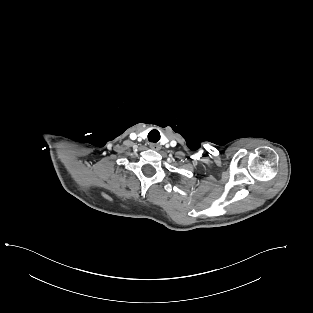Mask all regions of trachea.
<instances>
[{
  "instance_id": "trachea-1",
  "label": "trachea",
  "mask_w": 313,
  "mask_h": 313,
  "mask_svg": "<svg viewBox=\"0 0 313 313\" xmlns=\"http://www.w3.org/2000/svg\"><path fill=\"white\" fill-rule=\"evenodd\" d=\"M148 140L153 143L158 142L160 140V132L158 130H151L148 133Z\"/></svg>"
}]
</instances>
